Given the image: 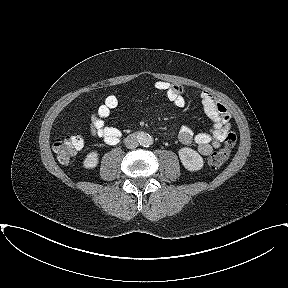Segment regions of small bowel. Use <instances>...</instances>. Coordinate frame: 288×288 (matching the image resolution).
<instances>
[{
    "label": "small bowel",
    "instance_id": "1",
    "mask_svg": "<svg viewBox=\"0 0 288 288\" xmlns=\"http://www.w3.org/2000/svg\"><path fill=\"white\" fill-rule=\"evenodd\" d=\"M156 90L163 92L167 99L176 107L186 104L183 86L176 83L159 80L155 83ZM199 98L204 112L211 119L213 125L209 133H194L188 126H183L178 133V140L184 145L194 143L197 150L204 156L210 155L224 141L230 130L229 112L227 108L219 103L209 92L199 91ZM119 100L115 95L105 98L96 110L90 123V132L93 137L100 138L107 145H115L121 138V132L115 127L106 124L112 110L117 108Z\"/></svg>",
    "mask_w": 288,
    "mask_h": 288
}]
</instances>
